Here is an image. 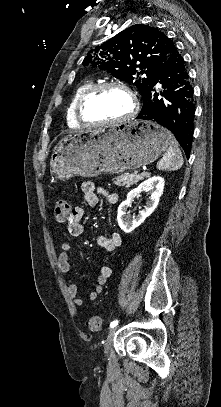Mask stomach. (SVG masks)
I'll use <instances>...</instances> for the list:
<instances>
[{
	"label": "stomach",
	"mask_w": 221,
	"mask_h": 407,
	"mask_svg": "<svg viewBox=\"0 0 221 407\" xmlns=\"http://www.w3.org/2000/svg\"><path fill=\"white\" fill-rule=\"evenodd\" d=\"M171 138L166 129L145 120L78 131L55 145L50 165L62 181L135 170L153 163L168 148Z\"/></svg>",
	"instance_id": "0dacf381"
}]
</instances>
